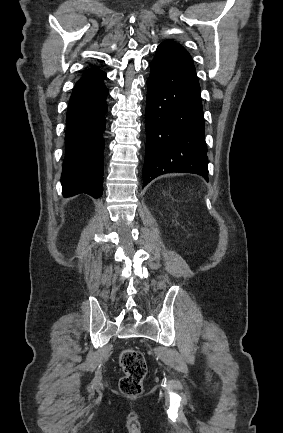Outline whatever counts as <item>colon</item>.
Returning a JSON list of instances; mask_svg holds the SVG:
<instances>
[{"mask_svg": "<svg viewBox=\"0 0 283 433\" xmlns=\"http://www.w3.org/2000/svg\"><path fill=\"white\" fill-rule=\"evenodd\" d=\"M119 363L123 371V376L119 381L120 391L127 396L139 395L147 374V364L143 353L132 348L125 349L120 354Z\"/></svg>", "mask_w": 283, "mask_h": 433, "instance_id": "colon-1", "label": "colon"}]
</instances>
